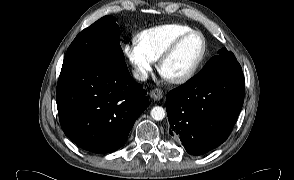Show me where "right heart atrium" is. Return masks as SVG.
I'll list each match as a JSON object with an SVG mask.
<instances>
[{
    "label": "right heart atrium",
    "mask_w": 294,
    "mask_h": 180,
    "mask_svg": "<svg viewBox=\"0 0 294 180\" xmlns=\"http://www.w3.org/2000/svg\"><path fill=\"white\" fill-rule=\"evenodd\" d=\"M124 53L133 66L135 77L141 81L146 80L156 60L147 53L137 39H132L124 46Z\"/></svg>",
    "instance_id": "right-heart-atrium-1"
}]
</instances>
